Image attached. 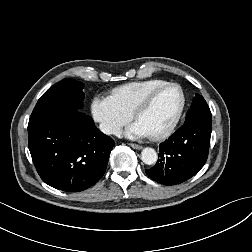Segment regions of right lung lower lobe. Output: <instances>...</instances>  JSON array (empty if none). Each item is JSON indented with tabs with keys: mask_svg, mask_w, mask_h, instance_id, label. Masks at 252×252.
Returning <instances> with one entry per match:
<instances>
[{
	"mask_svg": "<svg viewBox=\"0 0 252 252\" xmlns=\"http://www.w3.org/2000/svg\"><path fill=\"white\" fill-rule=\"evenodd\" d=\"M28 145L41 179L51 187L78 192L105 173L114 141L79 110L59 111L29 122Z\"/></svg>",
	"mask_w": 252,
	"mask_h": 252,
	"instance_id": "98d812e1",
	"label": "right lung lower lobe"
}]
</instances>
